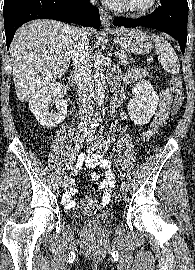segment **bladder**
<instances>
[{
	"mask_svg": "<svg viewBox=\"0 0 195 270\" xmlns=\"http://www.w3.org/2000/svg\"><path fill=\"white\" fill-rule=\"evenodd\" d=\"M116 213L113 210L88 207L85 211L77 215V219L81 222L91 218L99 220L103 224H110L116 220Z\"/></svg>",
	"mask_w": 195,
	"mask_h": 270,
	"instance_id": "1",
	"label": "bladder"
}]
</instances>
